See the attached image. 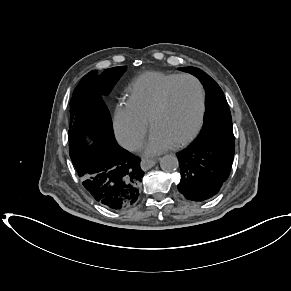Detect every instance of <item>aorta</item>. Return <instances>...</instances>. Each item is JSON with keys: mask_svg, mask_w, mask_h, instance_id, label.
Wrapping results in <instances>:
<instances>
[{"mask_svg": "<svg viewBox=\"0 0 291 291\" xmlns=\"http://www.w3.org/2000/svg\"><path fill=\"white\" fill-rule=\"evenodd\" d=\"M160 167L163 171L172 172L179 167L178 159L175 155H165L160 160Z\"/></svg>", "mask_w": 291, "mask_h": 291, "instance_id": "aorta-1", "label": "aorta"}]
</instances>
